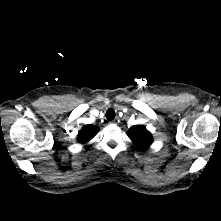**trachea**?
I'll use <instances>...</instances> for the list:
<instances>
[{
  "label": "trachea",
  "instance_id": "3493384b",
  "mask_svg": "<svg viewBox=\"0 0 221 221\" xmlns=\"http://www.w3.org/2000/svg\"><path fill=\"white\" fill-rule=\"evenodd\" d=\"M106 118L111 121L115 118V112L113 109H109L107 112H106Z\"/></svg>",
  "mask_w": 221,
  "mask_h": 221
}]
</instances>
